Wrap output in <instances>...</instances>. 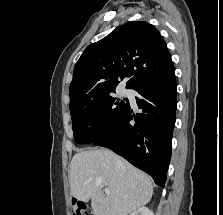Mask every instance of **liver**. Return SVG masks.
Listing matches in <instances>:
<instances>
[{"label":"liver","instance_id":"liver-1","mask_svg":"<svg viewBox=\"0 0 223 215\" xmlns=\"http://www.w3.org/2000/svg\"><path fill=\"white\" fill-rule=\"evenodd\" d=\"M108 187L110 193H103ZM71 195L89 201L94 215H127L148 203L153 185L147 175L109 149L79 151L70 163Z\"/></svg>","mask_w":223,"mask_h":215}]
</instances>
